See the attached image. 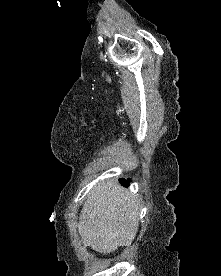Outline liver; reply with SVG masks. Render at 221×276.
Segmentation results:
<instances>
[{
  "label": "liver",
  "instance_id": "liver-1",
  "mask_svg": "<svg viewBox=\"0 0 221 276\" xmlns=\"http://www.w3.org/2000/svg\"><path fill=\"white\" fill-rule=\"evenodd\" d=\"M139 212L137 197L117 181L98 182L81 211L78 231L82 243L104 254L131 245L138 231Z\"/></svg>",
  "mask_w": 221,
  "mask_h": 276
}]
</instances>
